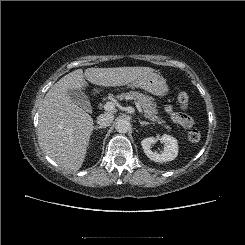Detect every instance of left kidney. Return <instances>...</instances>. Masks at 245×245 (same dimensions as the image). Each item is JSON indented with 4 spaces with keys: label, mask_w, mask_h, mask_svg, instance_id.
Wrapping results in <instances>:
<instances>
[{
    "label": "left kidney",
    "mask_w": 245,
    "mask_h": 245,
    "mask_svg": "<svg viewBox=\"0 0 245 245\" xmlns=\"http://www.w3.org/2000/svg\"><path fill=\"white\" fill-rule=\"evenodd\" d=\"M155 137H148L141 141L144 153L150 160L163 163L174 160L178 155V143L177 140L167 134L161 137V142L164 143V150L162 153L153 152L151 150L152 144L156 143Z\"/></svg>",
    "instance_id": "obj_1"
}]
</instances>
